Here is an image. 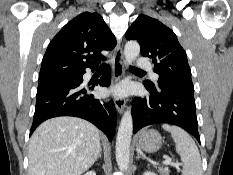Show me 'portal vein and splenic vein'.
Masks as SVG:
<instances>
[{
  "mask_svg": "<svg viewBox=\"0 0 233 175\" xmlns=\"http://www.w3.org/2000/svg\"><path fill=\"white\" fill-rule=\"evenodd\" d=\"M164 165H170L172 163V159L169 157H166L165 160L162 162Z\"/></svg>",
  "mask_w": 233,
  "mask_h": 175,
  "instance_id": "obj_1",
  "label": "portal vein and splenic vein"
}]
</instances>
